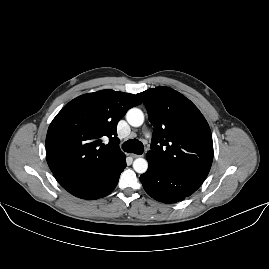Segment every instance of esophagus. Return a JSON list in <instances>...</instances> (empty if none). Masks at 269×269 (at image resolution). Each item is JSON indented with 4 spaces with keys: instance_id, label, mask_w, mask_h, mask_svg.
<instances>
[{
    "instance_id": "obj_1",
    "label": "esophagus",
    "mask_w": 269,
    "mask_h": 269,
    "mask_svg": "<svg viewBox=\"0 0 269 269\" xmlns=\"http://www.w3.org/2000/svg\"><path fill=\"white\" fill-rule=\"evenodd\" d=\"M130 156H131L132 158H138V157H140L141 155H139V154H130Z\"/></svg>"
}]
</instances>
